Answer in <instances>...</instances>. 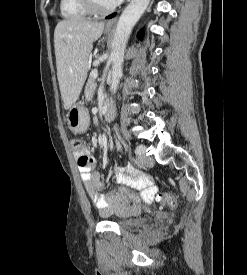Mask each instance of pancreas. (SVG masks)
<instances>
[{
	"mask_svg": "<svg viewBox=\"0 0 247 275\" xmlns=\"http://www.w3.org/2000/svg\"><path fill=\"white\" fill-rule=\"evenodd\" d=\"M96 87V78L92 76V74L90 75L86 87H85V97L87 100H92L93 94H94V90Z\"/></svg>",
	"mask_w": 247,
	"mask_h": 275,
	"instance_id": "obj_1",
	"label": "pancreas"
}]
</instances>
